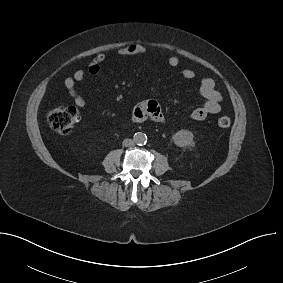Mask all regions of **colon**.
<instances>
[{
    "mask_svg": "<svg viewBox=\"0 0 283 283\" xmlns=\"http://www.w3.org/2000/svg\"><path fill=\"white\" fill-rule=\"evenodd\" d=\"M79 119L76 108L71 106H60L52 109L48 115L47 120L50 127L59 134H68L75 128ZM217 124L221 128H228L231 125V118L228 116H221Z\"/></svg>",
    "mask_w": 283,
    "mask_h": 283,
    "instance_id": "1",
    "label": "colon"
}]
</instances>
